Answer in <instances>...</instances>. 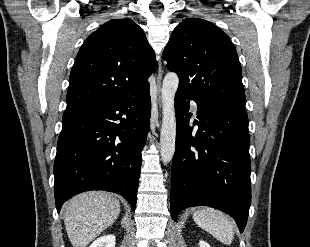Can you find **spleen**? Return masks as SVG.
I'll return each instance as SVG.
<instances>
[{
    "label": "spleen",
    "instance_id": "1",
    "mask_svg": "<svg viewBox=\"0 0 310 247\" xmlns=\"http://www.w3.org/2000/svg\"><path fill=\"white\" fill-rule=\"evenodd\" d=\"M193 220L223 244H231L234 238L233 224L223 212L213 208H201L194 212Z\"/></svg>",
    "mask_w": 310,
    "mask_h": 247
}]
</instances>
